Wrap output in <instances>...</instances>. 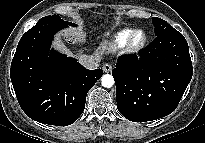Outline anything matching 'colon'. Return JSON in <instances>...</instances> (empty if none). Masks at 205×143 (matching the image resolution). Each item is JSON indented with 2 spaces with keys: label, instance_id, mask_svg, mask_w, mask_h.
<instances>
[{
  "label": "colon",
  "instance_id": "obj_1",
  "mask_svg": "<svg viewBox=\"0 0 205 143\" xmlns=\"http://www.w3.org/2000/svg\"><path fill=\"white\" fill-rule=\"evenodd\" d=\"M74 36V31L72 28H69L66 32H65V38L66 39H72Z\"/></svg>",
  "mask_w": 205,
  "mask_h": 143
}]
</instances>
